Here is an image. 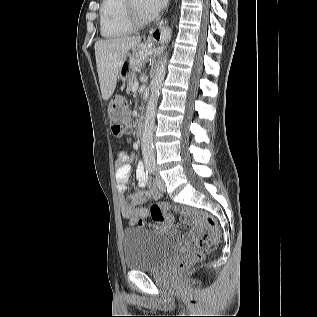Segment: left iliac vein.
I'll list each match as a JSON object with an SVG mask.
<instances>
[{"instance_id": "4c4485c4", "label": "left iliac vein", "mask_w": 317, "mask_h": 317, "mask_svg": "<svg viewBox=\"0 0 317 317\" xmlns=\"http://www.w3.org/2000/svg\"><path fill=\"white\" fill-rule=\"evenodd\" d=\"M156 185L159 188L160 191L165 192L166 191V186L163 181V179L160 176L156 177Z\"/></svg>"}]
</instances>
